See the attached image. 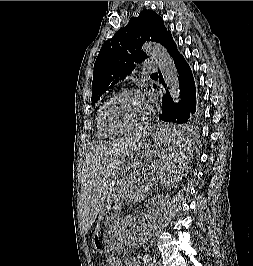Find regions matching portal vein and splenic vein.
I'll list each match as a JSON object with an SVG mask.
<instances>
[{
  "mask_svg": "<svg viewBox=\"0 0 253 266\" xmlns=\"http://www.w3.org/2000/svg\"><path fill=\"white\" fill-rule=\"evenodd\" d=\"M148 190H149V185H147L145 188H144V193H146V191L148 192Z\"/></svg>",
  "mask_w": 253,
  "mask_h": 266,
  "instance_id": "1",
  "label": "portal vein and splenic vein"
}]
</instances>
